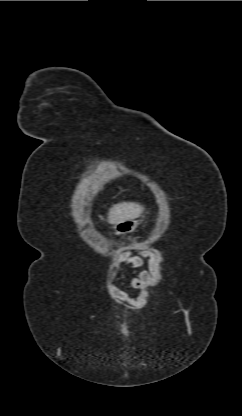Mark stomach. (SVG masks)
I'll list each match as a JSON object with an SVG mask.
<instances>
[{
	"label": "stomach",
	"mask_w": 242,
	"mask_h": 416,
	"mask_svg": "<svg viewBox=\"0 0 242 416\" xmlns=\"http://www.w3.org/2000/svg\"><path fill=\"white\" fill-rule=\"evenodd\" d=\"M138 226V221L127 220L121 223L115 224L113 229L117 235H124L133 232Z\"/></svg>",
	"instance_id": "stomach-1"
}]
</instances>
